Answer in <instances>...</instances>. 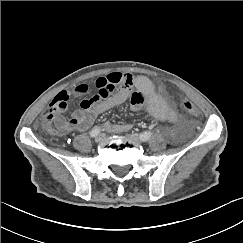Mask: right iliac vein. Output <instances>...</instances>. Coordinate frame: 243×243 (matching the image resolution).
<instances>
[{
  "label": "right iliac vein",
  "mask_w": 243,
  "mask_h": 243,
  "mask_svg": "<svg viewBox=\"0 0 243 243\" xmlns=\"http://www.w3.org/2000/svg\"><path fill=\"white\" fill-rule=\"evenodd\" d=\"M105 135L104 134H98L96 137H95V142H100L104 139Z\"/></svg>",
  "instance_id": "obj_1"
}]
</instances>
